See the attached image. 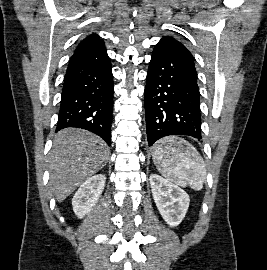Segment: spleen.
I'll use <instances>...</instances> for the list:
<instances>
[{
	"label": "spleen",
	"instance_id": "obj_1",
	"mask_svg": "<svg viewBox=\"0 0 267 270\" xmlns=\"http://www.w3.org/2000/svg\"><path fill=\"white\" fill-rule=\"evenodd\" d=\"M153 161L169 181L182 187L189 185L197 191L202 189L206 177L205 163L188 141L177 136L161 139L155 147Z\"/></svg>",
	"mask_w": 267,
	"mask_h": 270
}]
</instances>
